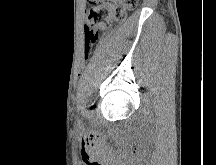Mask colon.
I'll list each match as a JSON object with an SVG mask.
<instances>
[{"label":"colon","mask_w":216,"mask_h":165,"mask_svg":"<svg viewBox=\"0 0 216 165\" xmlns=\"http://www.w3.org/2000/svg\"><path fill=\"white\" fill-rule=\"evenodd\" d=\"M88 3L91 9L85 26V55L90 53L100 33L123 20L126 12L133 9L138 0H88Z\"/></svg>","instance_id":"colon-1"}]
</instances>
